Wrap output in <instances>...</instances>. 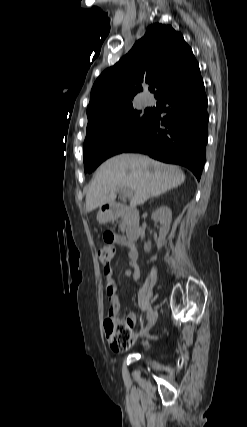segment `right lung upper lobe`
Returning a JSON list of instances; mask_svg holds the SVG:
<instances>
[{"label": "right lung upper lobe", "instance_id": "cb5924a9", "mask_svg": "<svg viewBox=\"0 0 247 427\" xmlns=\"http://www.w3.org/2000/svg\"><path fill=\"white\" fill-rule=\"evenodd\" d=\"M191 48L181 33L159 23L114 66L106 69L91 90L87 129L114 119L132 107L134 96L149 85L158 100L173 85L198 69Z\"/></svg>", "mask_w": 247, "mask_h": 427}]
</instances>
